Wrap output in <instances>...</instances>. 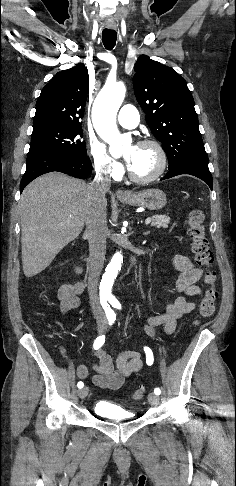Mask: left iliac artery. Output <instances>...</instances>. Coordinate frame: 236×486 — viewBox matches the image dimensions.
<instances>
[{"label": "left iliac artery", "instance_id": "1", "mask_svg": "<svg viewBox=\"0 0 236 486\" xmlns=\"http://www.w3.org/2000/svg\"><path fill=\"white\" fill-rule=\"evenodd\" d=\"M109 302L112 304L113 307H115L117 309H121V305L117 300L109 299ZM144 351H145V354H146V363L148 365H152L153 360H154L152 350L149 347H144ZM154 393L156 395H160L161 390L159 388H155Z\"/></svg>", "mask_w": 236, "mask_h": 486}]
</instances>
